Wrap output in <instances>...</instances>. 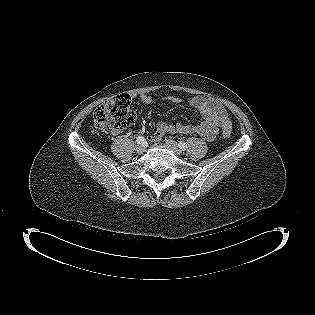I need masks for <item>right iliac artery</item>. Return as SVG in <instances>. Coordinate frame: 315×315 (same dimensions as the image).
Returning a JSON list of instances; mask_svg holds the SVG:
<instances>
[{
	"instance_id": "82829eb1",
	"label": "right iliac artery",
	"mask_w": 315,
	"mask_h": 315,
	"mask_svg": "<svg viewBox=\"0 0 315 315\" xmlns=\"http://www.w3.org/2000/svg\"><path fill=\"white\" fill-rule=\"evenodd\" d=\"M144 137L143 136H138L136 139L137 144H142L144 142Z\"/></svg>"
}]
</instances>
